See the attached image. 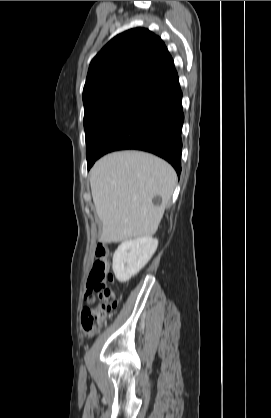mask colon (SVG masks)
<instances>
[{"mask_svg": "<svg viewBox=\"0 0 271 418\" xmlns=\"http://www.w3.org/2000/svg\"><path fill=\"white\" fill-rule=\"evenodd\" d=\"M112 281L109 252L106 246L100 244L96 249L95 260L88 278L89 289L85 296L87 306L82 312V325L88 336L95 334L103 326L117 306L115 294L108 286ZM96 300L98 303L94 305Z\"/></svg>", "mask_w": 271, "mask_h": 418, "instance_id": "obj_1", "label": "colon"}]
</instances>
